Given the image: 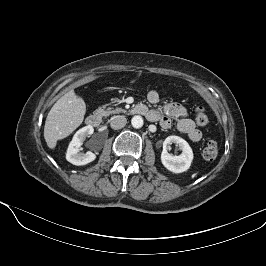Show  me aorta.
<instances>
[{
  "label": "aorta",
  "mask_w": 266,
  "mask_h": 266,
  "mask_svg": "<svg viewBox=\"0 0 266 266\" xmlns=\"http://www.w3.org/2000/svg\"><path fill=\"white\" fill-rule=\"evenodd\" d=\"M131 124L134 128H141L143 126V118L139 115L134 116L131 120Z\"/></svg>",
  "instance_id": "762f6f07"
}]
</instances>
